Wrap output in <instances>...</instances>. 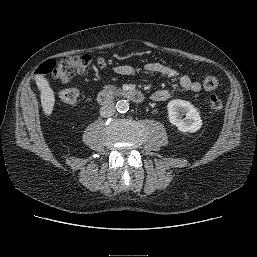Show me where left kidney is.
<instances>
[{"instance_id": "left-kidney-1", "label": "left kidney", "mask_w": 257, "mask_h": 257, "mask_svg": "<svg viewBox=\"0 0 257 257\" xmlns=\"http://www.w3.org/2000/svg\"><path fill=\"white\" fill-rule=\"evenodd\" d=\"M167 109L169 122L180 132L194 133L202 127L200 114L190 102L181 99L171 100Z\"/></svg>"}]
</instances>
